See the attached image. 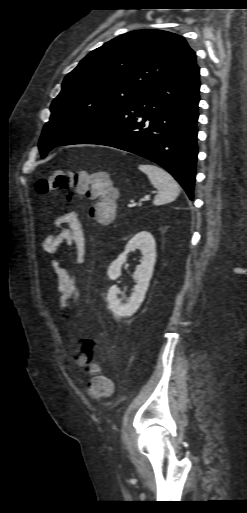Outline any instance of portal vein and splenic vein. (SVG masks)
I'll return each instance as SVG.
<instances>
[{
	"mask_svg": "<svg viewBox=\"0 0 247 513\" xmlns=\"http://www.w3.org/2000/svg\"><path fill=\"white\" fill-rule=\"evenodd\" d=\"M135 205H136V204H133V203H132V204H129V205H128V207H129V208H133Z\"/></svg>",
	"mask_w": 247,
	"mask_h": 513,
	"instance_id": "1",
	"label": "portal vein and splenic vein"
}]
</instances>
